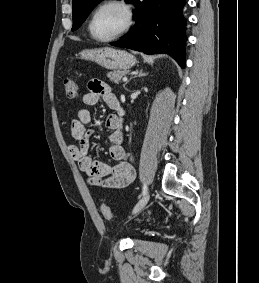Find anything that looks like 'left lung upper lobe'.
Masks as SVG:
<instances>
[{
  "label": "left lung upper lobe",
  "instance_id": "left-lung-upper-lobe-1",
  "mask_svg": "<svg viewBox=\"0 0 259 283\" xmlns=\"http://www.w3.org/2000/svg\"><path fill=\"white\" fill-rule=\"evenodd\" d=\"M102 0H72L73 8V27L72 31H75L80 27L84 20L89 15L93 7ZM127 2H133L134 0H126Z\"/></svg>",
  "mask_w": 259,
  "mask_h": 283
}]
</instances>
